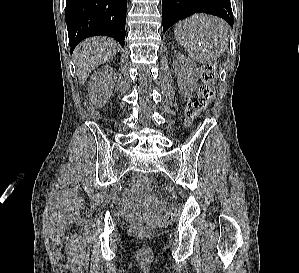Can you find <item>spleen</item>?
I'll return each mask as SVG.
<instances>
[{
  "instance_id": "obj_1",
  "label": "spleen",
  "mask_w": 299,
  "mask_h": 273,
  "mask_svg": "<svg viewBox=\"0 0 299 273\" xmlns=\"http://www.w3.org/2000/svg\"><path fill=\"white\" fill-rule=\"evenodd\" d=\"M228 24L211 15H193L176 24L178 43L199 63L216 61L228 45Z\"/></svg>"
}]
</instances>
